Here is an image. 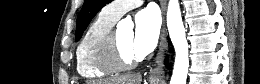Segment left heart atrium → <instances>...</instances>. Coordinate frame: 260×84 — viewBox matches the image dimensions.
I'll list each match as a JSON object with an SVG mask.
<instances>
[{"label": "left heart atrium", "mask_w": 260, "mask_h": 84, "mask_svg": "<svg viewBox=\"0 0 260 84\" xmlns=\"http://www.w3.org/2000/svg\"><path fill=\"white\" fill-rule=\"evenodd\" d=\"M160 18L156 10L147 8L135 16L133 51L136 57H144L154 50L160 35Z\"/></svg>", "instance_id": "1"}]
</instances>
